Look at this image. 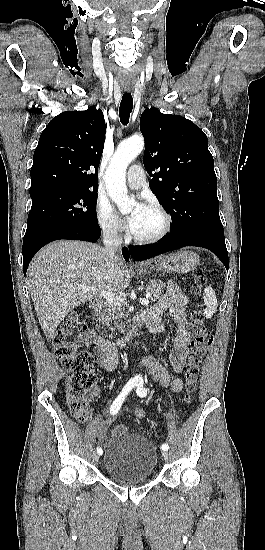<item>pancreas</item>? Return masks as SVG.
Wrapping results in <instances>:
<instances>
[{"mask_svg":"<svg viewBox=\"0 0 265 550\" xmlns=\"http://www.w3.org/2000/svg\"><path fill=\"white\" fill-rule=\"evenodd\" d=\"M165 284L161 281L152 280L145 286L146 292L152 295L151 300L156 301L162 296ZM125 307L123 305H116L109 301L105 302L102 308L96 313V316L101 324L110 326L114 324L120 331L124 332V325L121 322V318L124 317ZM120 323V324H118Z\"/></svg>","mask_w":265,"mask_h":550,"instance_id":"obj_1","label":"pancreas"}]
</instances>
